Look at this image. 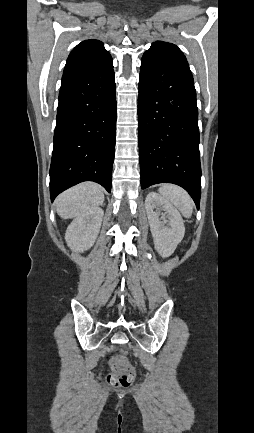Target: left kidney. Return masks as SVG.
Wrapping results in <instances>:
<instances>
[{
    "instance_id": "5707ae66",
    "label": "left kidney",
    "mask_w": 254,
    "mask_h": 433,
    "mask_svg": "<svg viewBox=\"0 0 254 433\" xmlns=\"http://www.w3.org/2000/svg\"><path fill=\"white\" fill-rule=\"evenodd\" d=\"M145 208L155 249L160 256L167 258L171 256L184 237L183 219L176 208L155 192L147 195ZM162 210L165 211L166 216L162 214L159 218Z\"/></svg>"
}]
</instances>
